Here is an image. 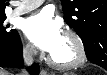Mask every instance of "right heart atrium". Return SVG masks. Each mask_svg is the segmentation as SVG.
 <instances>
[{"instance_id": "right-heart-atrium-1", "label": "right heart atrium", "mask_w": 107, "mask_h": 75, "mask_svg": "<svg viewBox=\"0 0 107 75\" xmlns=\"http://www.w3.org/2000/svg\"><path fill=\"white\" fill-rule=\"evenodd\" d=\"M23 51L26 56H32L35 53V47L32 43L26 42L23 46Z\"/></svg>"}]
</instances>
